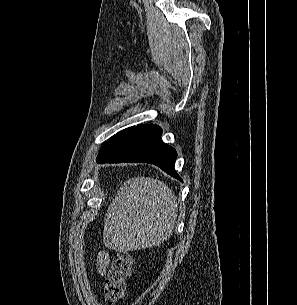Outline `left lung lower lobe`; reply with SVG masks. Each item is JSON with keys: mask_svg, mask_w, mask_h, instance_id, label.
Listing matches in <instances>:
<instances>
[{"mask_svg": "<svg viewBox=\"0 0 297 305\" xmlns=\"http://www.w3.org/2000/svg\"><path fill=\"white\" fill-rule=\"evenodd\" d=\"M161 134L162 130L157 125H138L124 129L104 144L96 161L147 162L182 181L174 169L176 150L161 140Z\"/></svg>", "mask_w": 297, "mask_h": 305, "instance_id": "left-lung-lower-lobe-1", "label": "left lung lower lobe"}]
</instances>
